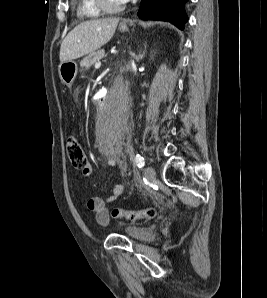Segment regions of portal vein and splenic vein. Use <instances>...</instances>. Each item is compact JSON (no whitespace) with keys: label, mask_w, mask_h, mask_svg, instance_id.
Listing matches in <instances>:
<instances>
[{"label":"portal vein and splenic vein","mask_w":267,"mask_h":298,"mask_svg":"<svg viewBox=\"0 0 267 298\" xmlns=\"http://www.w3.org/2000/svg\"><path fill=\"white\" fill-rule=\"evenodd\" d=\"M101 66V63L98 61L95 63V68H99Z\"/></svg>","instance_id":"1"}]
</instances>
